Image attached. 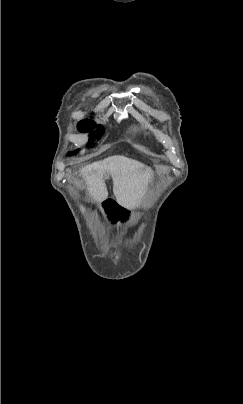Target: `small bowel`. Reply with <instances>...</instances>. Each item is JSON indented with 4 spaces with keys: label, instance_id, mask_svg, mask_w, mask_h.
<instances>
[{
    "label": "small bowel",
    "instance_id": "obj_1",
    "mask_svg": "<svg viewBox=\"0 0 243 404\" xmlns=\"http://www.w3.org/2000/svg\"><path fill=\"white\" fill-rule=\"evenodd\" d=\"M101 209L111 226L125 225L133 218L131 212L114 198L105 199Z\"/></svg>",
    "mask_w": 243,
    "mask_h": 404
}]
</instances>
